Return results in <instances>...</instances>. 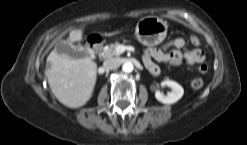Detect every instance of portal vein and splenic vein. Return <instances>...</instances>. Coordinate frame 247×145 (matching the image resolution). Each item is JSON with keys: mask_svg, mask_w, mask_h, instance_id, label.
<instances>
[{"mask_svg": "<svg viewBox=\"0 0 247 145\" xmlns=\"http://www.w3.org/2000/svg\"><path fill=\"white\" fill-rule=\"evenodd\" d=\"M130 49V47H127V46H124V45H119L117 48H116V52L117 53H123L124 51Z\"/></svg>", "mask_w": 247, "mask_h": 145, "instance_id": "obj_1", "label": "portal vein and splenic vein"}]
</instances>
